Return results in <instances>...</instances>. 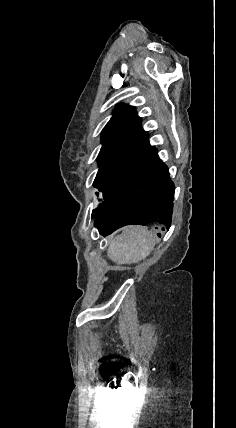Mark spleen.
Segmentation results:
<instances>
[{"instance_id": "spleen-1", "label": "spleen", "mask_w": 236, "mask_h": 428, "mask_svg": "<svg viewBox=\"0 0 236 428\" xmlns=\"http://www.w3.org/2000/svg\"><path fill=\"white\" fill-rule=\"evenodd\" d=\"M155 238L144 226H127L122 234L113 238L108 256L116 264H137L153 250Z\"/></svg>"}]
</instances>
